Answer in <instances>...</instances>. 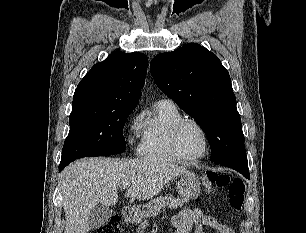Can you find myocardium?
<instances>
[{
    "instance_id": "f54148a6",
    "label": "myocardium",
    "mask_w": 306,
    "mask_h": 233,
    "mask_svg": "<svg viewBox=\"0 0 306 233\" xmlns=\"http://www.w3.org/2000/svg\"><path fill=\"white\" fill-rule=\"evenodd\" d=\"M187 124H193L194 126H196L200 130L204 138V151L201 155L197 157L185 156L181 152L180 147H179L180 132L182 128ZM170 144H171L174 154L178 157V159L185 161V162H197V161L202 160L203 158L207 156L209 149H210V141H209V136H208L206 129L203 127V125L200 122H198L197 120L193 118H182L173 126L171 130V134H170Z\"/></svg>"
}]
</instances>
